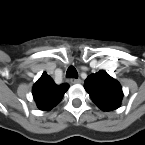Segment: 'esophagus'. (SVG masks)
<instances>
[{
  "label": "esophagus",
  "instance_id": "obj_1",
  "mask_svg": "<svg viewBox=\"0 0 145 145\" xmlns=\"http://www.w3.org/2000/svg\"><path fill=\"white\" fill-rule=\"evenodd\" d=\"M70 82L72 84H80L82 82V80L80 78H78V79L72 78V79H70Z\"/></svg>",
  "mask_w": 145,
  "mask_h": 145
}]
</instances>
